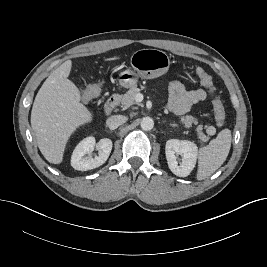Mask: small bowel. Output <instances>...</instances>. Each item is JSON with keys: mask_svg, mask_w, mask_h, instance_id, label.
I'll return each mask as SVG.
<instances>
[{"mask_svg": "<svg viewBox=\"0 0 267 267\" xmlns=\"http://www.w3.org/2000/svg\"><path fill=\"white\" fill-rule=\"evenodd\" d=\"M204 89L187 90L180 81H173L169 86L168 109L176 115L187 113L194 104L206 100Z\"/></svg>", "mask_w": 267, "mask_h": 267, "instance_id": "c3829d8e", "label": "small bowel"}]
</instances>
